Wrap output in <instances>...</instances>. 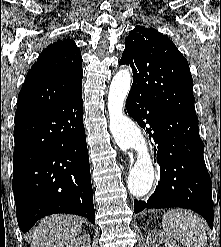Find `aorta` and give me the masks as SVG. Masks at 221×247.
I'll use <instances>...</instances> for the list:
<instances>
[{"mask_svg":"<svg viewBox=\"0 0 221 247\" xmlns=\"http://www.w3.org/2000/svg\"><path fill=\"white\" fill-rule=\"evenodd\" d=\"M130 87L131 75L126 69L119 71L110 84L108 93L110 131L121 150H132L136 153V160L130 169L127 184L133 196L143 197L152 188L154 168L141 130L123 114Z\"/></svg>","mask_w":221,"mask_h":247,"instance_id":"aorta-1","label":"aorta"}]
</instances>
